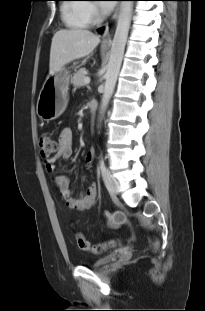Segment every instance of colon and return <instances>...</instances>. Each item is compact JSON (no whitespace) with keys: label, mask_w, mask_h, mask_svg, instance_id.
<instances>
[{"label":"colon","mask_w":205,"mask_h":311,"mask_svg":"<svg viewBox=\"0 0 205 311\" xmlns=\"http://www.w3.org/2000/svg\"><path fill=\"white\" fill-rule=\"evenodd\" d=\"M59 149V143L54 138V136L51 133H44L40 137V152L42 158L49 159L52 154L57 152ZM76 244L77 247L86 252H91L93 254H102L108 250H111L115 248L118 244V240L112 239L104 243L99 244H91L89 241L86 240V238L81 234H76ZM159 247V242L157 240L153 243V248L156 250Z\"/></svg>","instance_id":"1"}]
</instances>
